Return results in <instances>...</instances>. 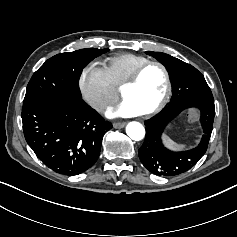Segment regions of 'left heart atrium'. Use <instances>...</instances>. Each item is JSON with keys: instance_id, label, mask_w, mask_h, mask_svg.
Listing matches in <instances>:
<instances>
[{"instance_id": "39dd6f15", "label": "left heart atrium", "mask_w": 237, "mask_h": 237, "mask_svg": "<svg viewBox=\"0 0 237 237\" xmlns=\"http://www.w3.org/2000/svg\"><path fill=\"white\" fill-rule=\"evenodd\" d=\"M106 115L108 118H128L138 116L140 112L130 102L124 100L116 108L110 109Z\"/></svg>"}]
</instances>
